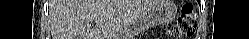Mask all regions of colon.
<instances>
[{
  "mask_svg": "<svg viewBox=\"0 0 249 39\" xmlns=\"http://www.w3.org/2000/svg\"><path fill=\"white\" fill-rule=\"evenodd\" d=\"M196 28V15L194 7L190 2L183 4L181 13L176 19L175 24L170 28V38L191 37Z\"/></svg>",
  "mask_w": 249,
  "mask_h": 39,
  "instance_id": "5ec220e1",
  "label": "colon"
}]
</instances>
